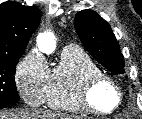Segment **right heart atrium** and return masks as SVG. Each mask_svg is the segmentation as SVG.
Wrapping results in <instances>:
<instances>
[{"label": "right heart atrium", "instance_id": "d8ad5b80", "mask_svg": "<svg viewBox=\"0 0 142 119\" xmlns=\"http://www.w3.org/2000/svg\"><path fill=\"white\" fill-rule=\"evenodd\" d=\"M49 68L45 58L37 50L28 52L15 70V86L22 100L33 107L44 102V92Z\"/></svg>", "mask_w": 142, "mask_h": 119}]
</instances>
